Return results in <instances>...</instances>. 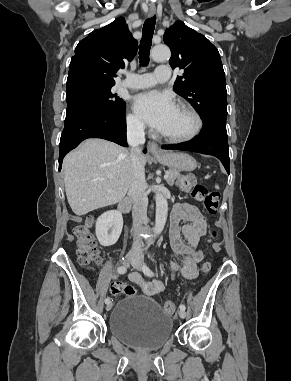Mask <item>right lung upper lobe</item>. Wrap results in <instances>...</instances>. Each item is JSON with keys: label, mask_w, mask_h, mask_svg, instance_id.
I'll return each mask as SVG.
<instances>
[{"label": "right lung upper lobe", "mask_w": 291, "mask_h": 381, "mask_svg": "<svg viewBox=\"0 0 291 381\" xmlns=\"http://www.w3.org/2000/svg\"><path fill=\"white\" fill-rule=\"evenodd\" d=\"M137 52V41L132 37L123 18L94 30L81 40L72 57L68 79L83 77L101 83L115 84L116 73L131 61Z\"/></svg>", "instance_id": "cb5924a9"}]
</instances>
